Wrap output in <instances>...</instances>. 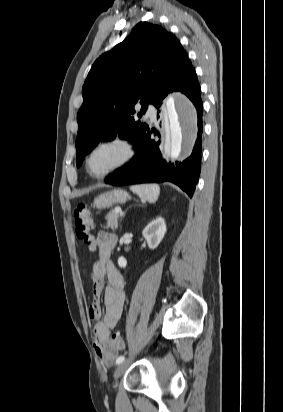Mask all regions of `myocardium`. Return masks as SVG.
<instances>
[{
  "label": "myocardium",
  "mask_w": 283,
  "mask_h": 412,
  "mask_svg": "<svg viewBox=\"0 0 283 412\" xmlns=\"http://www.w3.org/2000/svg\"><path fill=\"white\" fill-rule=\"evenodd\" d=\"M110 145H119L123 148L124 154L122 156V158L115 164L113 165L111 168H109L108 170L102 172V173H94L91 171L90 168V160L92 155L100 148L102 147H106V146H110ZM136 153V148L135 145L133 143V141H131L129 138L121 136V135H115L106 139H103L99 142H97L86 154L85 157V169L87 171V173L96 179H101V178H105L113 173H115L116 171L120 170L121 168H123L124 166H126L135 156Z\"/></svg>",
  "instance_id": "myocardium-1"
}]
</instances>
